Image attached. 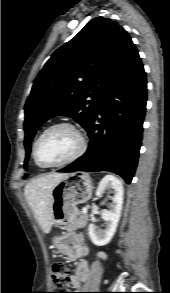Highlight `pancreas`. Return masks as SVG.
Here are the masks:
<instances>
[{
  "label": "pancreas",
  "mask_w": 170,
  "mask_h": 293,
  "mask_svg": "<svg viewBox=\"0 0 170 293\" xmlns=\"http://www.w3.org/2000/svg\"><path fill=\"white\" fill-rule=\"evenodd\" d=\"M88 216L83 212H79L78 215L69 223L67 229L76 230L84 228L87 225Z\"/></svg>",
  "instance_id": "1"
}]
</instances>
